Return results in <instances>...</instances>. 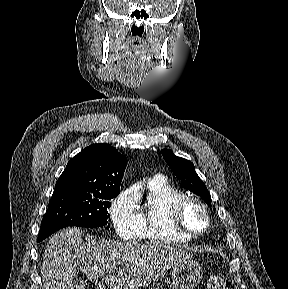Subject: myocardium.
<instances>
[{
	"instance_id": "obj_1",
	"label": "myocardium",
	"mask_w": 288,
	"mask_h": 289,
	"mask_svg": "<svg viewBox=\"0 0 288 289\" xmlns=\"http://www.w3.org/2000/svg\"><path fill=\"white\" fill-rule=\"evenodd\" d=\"M190 203L197 205L205 215L206 226L200 232H190L181 221V212L183 208ZM168 217L172 228L189 239L200 237L207 233L211 228V218L207 206L202 200L194 196L185 195L173 201L168 208Z\"/></svg>"
}]
</instances>
